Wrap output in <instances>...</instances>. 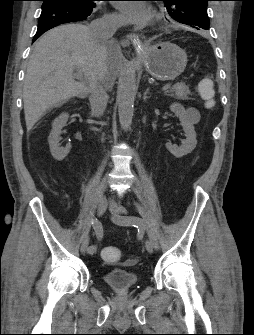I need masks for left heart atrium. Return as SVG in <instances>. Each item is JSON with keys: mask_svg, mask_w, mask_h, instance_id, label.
Wrapping results in <instances>:
<instances>
[{"mask_svg": "<svg viewBox=\"0 0 254 335\" xmlns=\"http://www.w3.org/2000/svg\"><path fill=\"white\" fill-rule=\"evenodd\" d=\"M117 8L126 23L138 27L149 24L153 17L150 7L141 1H120Z\"/></svg>", "mask_w": 254, "mask_h": 335, "instance_id": "left-heart-atrium-1", "label": "left heart atrium"}]
</instances>
